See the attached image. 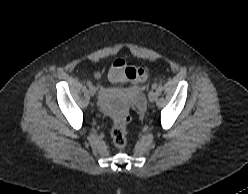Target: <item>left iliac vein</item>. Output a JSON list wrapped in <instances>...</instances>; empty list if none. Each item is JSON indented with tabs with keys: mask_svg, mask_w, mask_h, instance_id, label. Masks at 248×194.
Instances as JSON below:
<instances>
[{
	"mask_svg": "<svg viewBox=\"0 0 248 194\" xmlns=\"http://www.w3.org/2000/svg\"><path fill=\"white\" fill-rule=\"evenodd\" d=\"M157 95L154 91H150L149 94H148V99L150 102H154L155 99H156Z\"/></svg>",
	"mask_w": 248,
	"mask_h": 194,
	"instance_id": "obj_1",
	"label": "left iliac vein"
}]
</instances>
